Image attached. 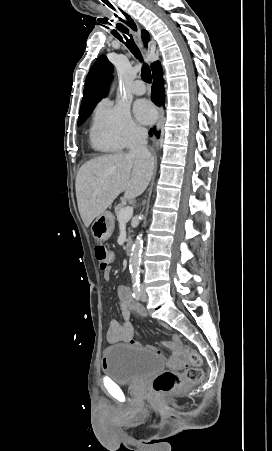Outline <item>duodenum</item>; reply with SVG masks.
I'll list each match as a JSON object with an SVG mask.
<instances>
[{"instance_id":"1","label":"duodenum","mask_w":272,"mask_h":451,"mask_svg":"<svg viewBox=\"0 0 272 451\" xmlns=\"http://www.w3.org/2000/svg\"><path fill=\"white\" fill-rule=\"evenodd\" d=\"M132 252V243H127L126 245V253L129 255Z\"/></svg>"}]
</instances>
